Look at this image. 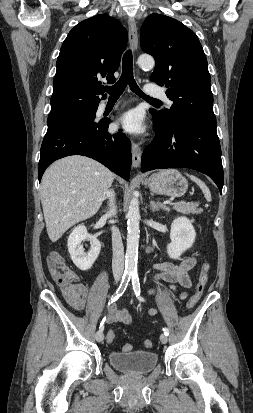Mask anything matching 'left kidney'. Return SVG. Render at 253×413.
Listing matches in <instances>:
<instances>
[{
  "label": "left kidney",
  "mask_w": 253,
  "mask_h": 413,
  "mask_svg": "<svg viewBox=\"0 0 253 413\" xmlns=\"http://www.w3.org/2000/svg\"><path fill=\"white\" fill-rule=\"evenodd\" d=\"M195 238L196 232L191 221L186 217H178L171 224V243L167 245V254L172 259H178L193 245Z\"/></svg>",
  "instance_id": "left-kidney-1"
}]
</instances>
